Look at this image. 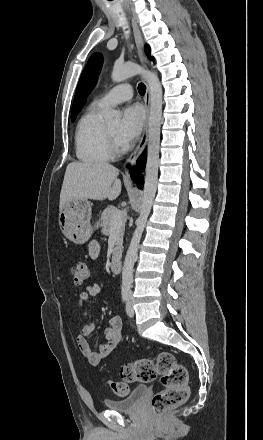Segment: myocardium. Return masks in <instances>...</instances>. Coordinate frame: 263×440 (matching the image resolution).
<instances>
[{
    "instance_id": "obj_1",
    "label": "myocardium",
    "mask_w": 263,
    "mask_h": 440,
    "mask_svg": "<svg viewBox=\"0 0 263 440\" xmlns=\"http://www.w3.org/2000/svg\"><path fill=\"white\" fill-rule=\"evenodd\" d=\"M105 133L108 141V147L112 155H119L122 152L121 144L116 140L110 132L108 126H105Z\"/></svg>"
}]
</instances>
